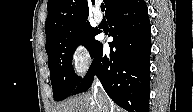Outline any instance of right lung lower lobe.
Wrapping results in <instances>:
<instances>
[{
  "instance_id": "obj_1",
  "label": "right lung lower lobe",
  "mask_w": 193,
  "mask_h": 112,
  "mask_svg": "<svg viewBox=\"0 0 193 112\" xmlns=\"http://www.w3.org/2000/svg\"><path fill=\"white\" fill-rule=\"evenodd\" d=\"M110 54L100 44L71 95L87 91L96 75L109 97L128 112L149 111L151 27L144 0H127L108 17Z\"/></svg>"
}]
</instances>
